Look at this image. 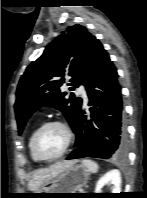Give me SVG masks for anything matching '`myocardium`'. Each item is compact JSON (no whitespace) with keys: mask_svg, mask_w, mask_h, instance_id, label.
<instances>
[{"mask_svg":"<svg viewBox=\"0 0 147 198\" xmlns=\"http://www.w3.org/2000/svg\"><path fill=\"white\" fill-rule=\"evenodd\" d=\"M50 126L61 127L65 132L66 141H65L64 147L62 148V150L58 154H56L54 156H51V157H45V156H42L39 153L36 144H37V139H38L39 135L41 134V132L43 130H45L46 128L50 127ZM72 140H73V133H72V130H71L70 126L66 122L61 121V120H51V121H47V122L43 123L41 126H39L36 129V131L34 132V134L32 136L31 149H32V152H33L34 156L39 161L51 162V161H54V160L60 158L61 156H63L67 152V150L69 149V147L72 143Z\"/></svg>","mask_w":147,"mask_h":198,"instance_id":"f54148a6","label":"myocardium"}]
</instances>
